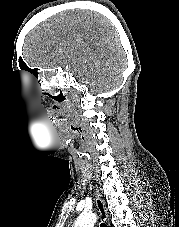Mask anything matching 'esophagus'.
<instances>
[{
	"instance_id": "esophagus-1",
	"label": "esophagus",
	"mask_w": 179,
	"mask_h": 227,
	"mask_svg": "<svg viewBox=\"0 0 179 227\" xmlns=\"http://www.w3.org/2000/svg\"><path fill=\"white\" fill-rule=\"evenodd\" d=\"M96 205H97V208H98V210H99V212L101 214V217H102L103 221L108 226H110L108 211H107L105 202L101 198V195H100L98 189H96Z\"/></svg>"
}]
</instances>
